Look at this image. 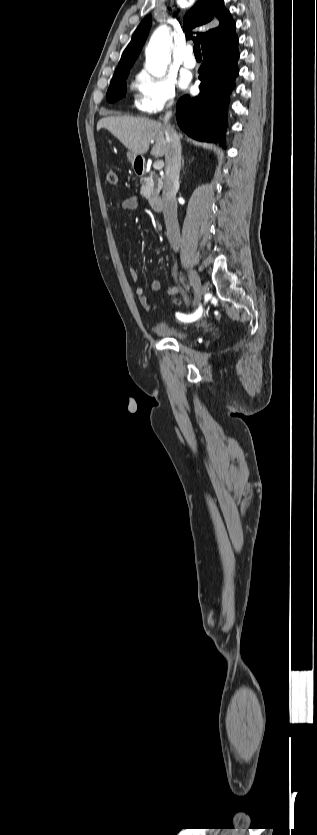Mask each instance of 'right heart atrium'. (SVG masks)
<instances>
[{"label": "right heart atrium", "instance_id": "d8ad5b80", "mask_svg": "<svg viewBox=\"0 0 317 835\" xmlns=\"http://www.w3.org/2000/svg\"><path fill=\"white\" fill-rule=\"evenodd\" d=\"M134 86L138 93L136 107L144 114L160 113L170 109L176 102V82L171 76H154L147 71H140Z\"/></svg>", "mask_w": 317, "mask_h": 835}]
</instances>
